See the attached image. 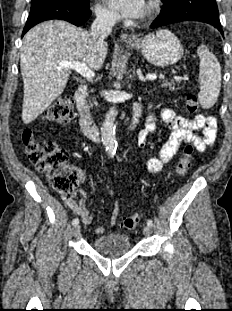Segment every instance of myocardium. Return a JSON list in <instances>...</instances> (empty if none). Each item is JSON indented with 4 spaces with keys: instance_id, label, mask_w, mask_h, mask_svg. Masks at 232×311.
Instances as JSON below:
<instances>
[{
    "instance_id": "obj_1",
    "label": "myocardium",
    "mask_w": 232,
    "mask_h": 311,
    "mask_svg": "<svg viewBox=\"0 0 232 311\" xmlns=\"http://www.w3.org/2000/svg\"><path fill=\"white\" fill-rule=\"evenodd\" d=\"M157 8H158V4L156 3V1H151L148 5L147 12H146L147 18H150L155 13Z\"/></svg>"
}]
</instances>
